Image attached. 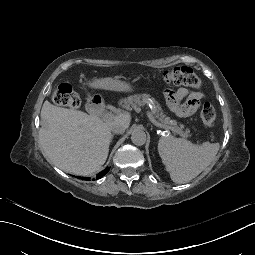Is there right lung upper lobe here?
I'll list each match as a JSON object with an SVG mask.
<instances>
[{
    "label": "right lung upper lobe",
    "instance_id": "1",
    "mask_svg": "<svg viewBox=\"0 0 255 255\" xmlns=\"http://www.w3.org/2000/svg\"><path fill=\"white\" fill-rule=\"evenodd\" d=\"M108 171H109V168H106L105 170H103L102 172H100V173L97 175V178L101 177L102 175H105Z\"/></svg>",
    "mask_w": 255,
    "mask_h": 255
}]
</instances>
